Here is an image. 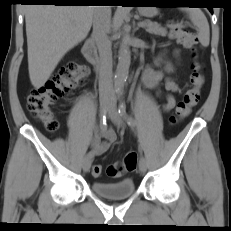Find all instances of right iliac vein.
Wrapping results in <instances>:
<instances>
[{
  "mask_svg": "<svg viewBox=\"0 0 231 231\" xmlns=\"http://www.w3.org/2000/svg\"><path fill=\"white\" fill-rule=\"evenodd\" d=\"M108 99L109 97L106 94H102L100 96V113L101 114L108 111V105H107ZM91 164H92V158L86 156L82 162L83 171L88 172L90 170Z\"/></svg>",
  "mask_w": 231,
  "mask_h": 231,
  "instance_id": "1",
  "label": "right iliac vein"
}]
</instances>
